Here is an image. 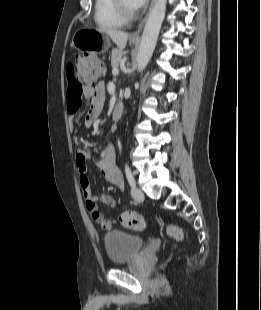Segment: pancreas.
<instances>
[{"instance_id": "cf45deb5", "label": "pancreas", "mask_w": 261, "mask_h": 310, "mask_svg": "<svg viewBox=\"0 0 261 310\" xmlns=\"http://www.w3.org/2000/svg\"><path fill=\"white\" fill-rule=\"evenodd\" d=\"M122 51L114 49L112 50V56H111V65L113 68H118L119 62L122 58Z\"/></svg>"}]
</instances>
